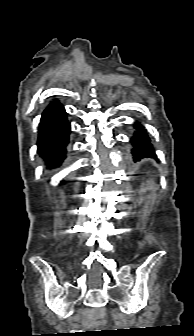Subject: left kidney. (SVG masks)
Masks as SVG:
<instances>
[{"mask_svg": "<svg viewBox=\"0 0 194 336\" xmlns=\"http://www.w3.org/2000/svg\"><path fill=\"white\" fill-rule=\"evenodd\" d=\"M154 188V181L153 180H149L146 182V184H143L141 186V192H146L147 190H152Z\"/></svg>", "mask_w": 194, "mask_h": 336, "instance_id": "1", "label": "left kidney"}]
</instances>
